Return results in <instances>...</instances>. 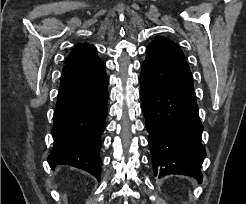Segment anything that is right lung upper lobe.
<instances>
[{
  "label": "right lung upper lobe",
  "mask_w": 246,
  "mask_h": 204,
  "mask_svg": "<svg viewBox=\"0 0 246 204\" xmlns=\"http://www.w3.org/2000/svg\"><path fill=\"white\" fill-rule=\"evenodd\" d=\"M102 62L97 56L96 48L90 44H79L70 54L67 64Z\"/></svg>",
  "instance_id": "1"
}]
</instances>
